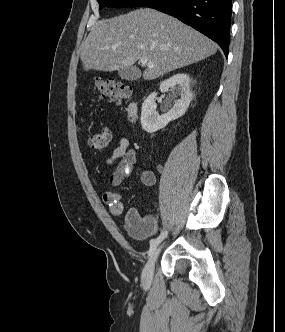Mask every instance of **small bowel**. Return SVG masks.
<instances>
[{
  "mask_svg": "<svg viewBox=\"0 0 285 332\" xmlns=\"http://www.w3.org/2000/svg\"><path fill=\"white\" fill-rule=\"evenodd\" d=\"M117 165L111 170L109 182L113 187L122 184L126 177L132 175L133 179L138 178L142 184L153 187L156 184V175L153 171L145 170L141 167L134 168L137 162V153L130 147L129 139L122 137L119 145L113 150L112 155L106 160L108 165ZM103 201L108 206L109 211L114 216H120L124 211L121 195L114 191H105L102 195ZM138 216L135 210H131L126 215V221H131Z\"/></svg>",
  "mask_w": 285,
  "mask_h": 332,
  "instance_id": "c3829d8e",
  "label": "small bowel"
}]
</instances>
